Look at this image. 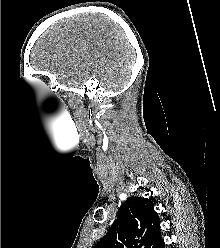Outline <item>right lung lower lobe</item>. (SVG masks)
Segmentation results:
<instances>
[{
    "mask_svg": "<svg viewBox=\"0 0 220 248\" xmlns=\"http://www.w3.org/2000/svg\"><path fill=\"white\" fill-rule=\"evenodd\" d=\"M165 244H164V240L162 239L156 246L155 248H164Z\"/></svg>",
    "mask_w": 220,
    "mask_h": 248,
    "instance_id": "1",
    "label": "right lung lower lobe"
}]
</instances>
